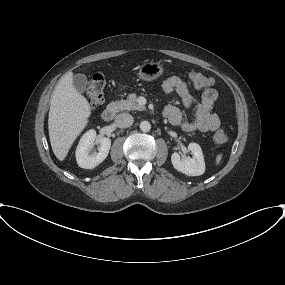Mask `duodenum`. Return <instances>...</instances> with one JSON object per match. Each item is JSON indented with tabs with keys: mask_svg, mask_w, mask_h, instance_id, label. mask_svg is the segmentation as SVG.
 <instances>
[{
	"mask_svg": "<svg viewBox=\"0 0 285 285\" xmlns=\"http://www.w3.org/2000/svg\"><path fill=\"white\" fill-rule=\"evenodd\" d=\"M117 113V107L115 105H108L101 113V117L104 121H111Z\"/></svg>",
	"mask_w": 285,
	"mask_h": 285,
	"instance_id": "obj_1",
	"label": "duodenum"
}]
</instances>
